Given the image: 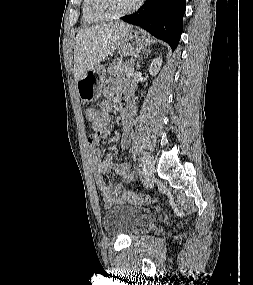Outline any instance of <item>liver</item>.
I'll use <instances>...</instances> for the list:
<instances>
[{
	"instance_id": "1",
	"label": "liver",
	"mask_w": 253,
	"mask_h": 285,
	"mask_svg": "<svg viewBox=\"0 0 253 285\" xmlns=\"http://www.w3.org/2000/svg\"><path fill=\"white\" fill-rule=\"evenodd\" d=\"M132 27L130 24L117 22L80 30L74 46L75 81L117 50Z\"/></svg>"
}]
</instances>
